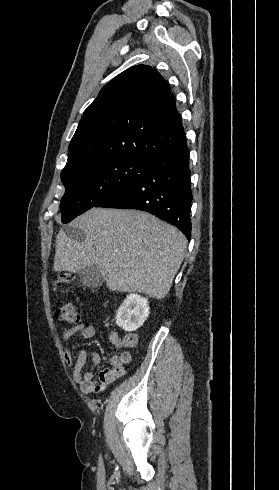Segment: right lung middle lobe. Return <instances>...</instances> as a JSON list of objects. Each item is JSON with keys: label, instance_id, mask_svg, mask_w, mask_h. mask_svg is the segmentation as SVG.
Returning a JSON list of instances; mask_svg holds the SVG:
<instances>
[{"label": "right lung middle lobe", "instance_id": "dd1d6c3e", "mask_svg": "<svg viewBox=\"0 0 279 490\" xmlns=\"http://www.w3.org/2000/svg\"><path fill=\"white\" fill-rule=\"evenodd\" d=\"M151 165L137 158H106L61 174L66 188L60 203L62 222L68 223L95 207L107 195L140 178Z\"/></svg>", "mask_w": 279, "mask_h": 490}]
</instances>
